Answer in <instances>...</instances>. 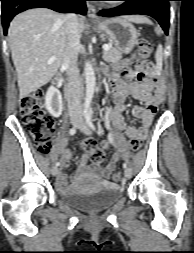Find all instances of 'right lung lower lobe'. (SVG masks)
<instances>
[{
    "label": "right lung lower lobe",
    "instance_id": "98d812e1",
    "mask_svg": "<svg viewBox=\"0 0 194 253\" xmlns=\"http://www.w3.org/2000/svg\"><path fill=\"white\" fill-rule=\"evenodd\" d=\"M2 1V24L4 34L12 18L30 8L45 7L57 12H74L86 15V0H0Z\"/></svg>",
    "mask_w": 194,
    "mask_h": 253
}]
</instances>
